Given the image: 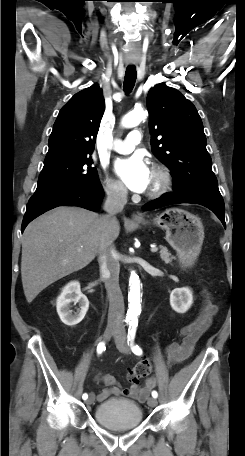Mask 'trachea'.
<instances>
[{"instance_id":"3493384b","label":"trachea","mask_w":245,"mask_h":456,"mask_svg":"<svg viewBox=\"0 0 245 456\" xmlns=\"http://www.w3.org/2000/svg\"><path fill=\"white\" fill-rule=\"evenodd\" d=\"M136 68L133 66L127 67L124 77L123 88L126 93H130L135 86L136 82Z\"/></svg>"}]
</instances>
